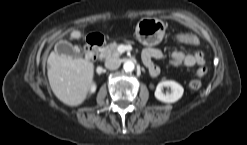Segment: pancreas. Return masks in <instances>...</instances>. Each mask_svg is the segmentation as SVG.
<instances>
[{
  "label": "pancreas",
  "instance_id": "cf45deb5",
  "mask_svg": "<svg viewBox=\"0 0 247 145\" xmlns=\"http://www.w3.org/2000/svg\"><path fill=\"white\" fill-rule=\"evenodd\" d=\"M118 44L111 43L100 50V57L109 59V58H118L121 53L117 51Z\"/></svg>",
  "mask_w": 247,
  "mask_h": 145
}]
</instances>
